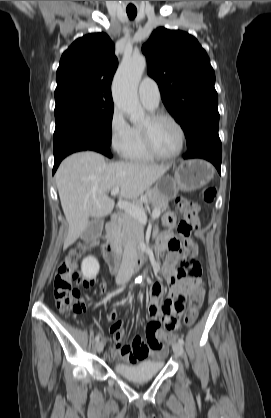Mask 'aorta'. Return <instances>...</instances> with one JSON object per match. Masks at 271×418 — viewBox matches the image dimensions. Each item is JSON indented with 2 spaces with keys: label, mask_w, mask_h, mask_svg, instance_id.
<instances>
[{
  "label": "aorta",
  "mask_w": 271,
  "mask_h": 418,
  "mask_svg": "<svg viewBox=\"0 0 271 418\" xmlns=\"http://www.w3.org/2000/svg\"><path fill=\"white\" fill-rule=\"evenodd\" d=\"M145 67V57L140 54L133 55L122 61L113 81L115 106L128 114L132 123H140L146 119L137 96V87Z\"/></svg>",
  "instance_id": "762f6f07"
}]
</instances>
